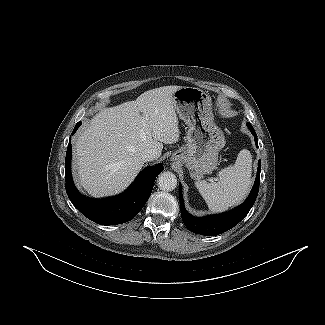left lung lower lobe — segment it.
Segmentation results:
<instances>
[{"mask_svg": "<svg viewBox=\"0 0 325 325\" xmlns=\"http://www.w3.org/2000/svg\"><path fill=\"white\" fill-rule=\"evenodd\" d=\"M247 127L254 135L255 143L258 147L257 135L252 125L247 123ZM260 169L261 161L259 160L255 183L247 199L237 208L228 213L219 215L205 216L201 218L190 215L184 207L182 188L180 185V210L185 226L194 233L205 236H215L224 233L237 225L248 214L256 200L259 191Z\"/></svg>", "mask_w": 325, "mask_h": 325, "instance_id": "0a47b994", "label": "left lung lower lobe"}]
</instances>
